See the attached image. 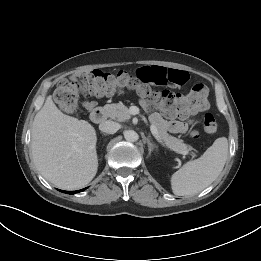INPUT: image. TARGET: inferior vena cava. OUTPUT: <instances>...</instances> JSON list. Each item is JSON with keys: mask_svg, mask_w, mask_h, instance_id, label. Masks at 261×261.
I'll return each instance as SVG.
<instances>
[{"mask_svg": "<svg viewBox=\"0 0 261 261\" xmlns=\"http://www.w3.org/2000/svg\"><path fill=\"white\" fill-rule=\"evenodd\" d=\"M120 128V125L114 121L107 120L105 122L100 123L99 129L100 131L108 134L116 133Z\"/></svg>", "mask_w": 261, "mask_h": 261, "instance_id": "602c4592", "label": "inferior vena cava"}]
</instances>
